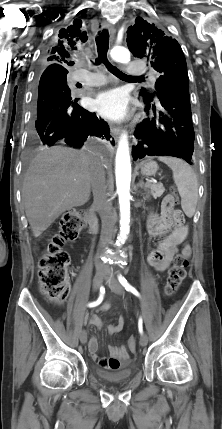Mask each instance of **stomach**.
<instances>
[{"label": "stomach", "instance_id": "0dacf381", "mask_svg": "<svg viewBox=\"0 0 222 429\" xmlns=\"http://www.w3.org/2000/svg\"><path fill=\"white\" fill-rule=\"evenodd\" d=\"M141 174L145 176H153L158 170V164L152 160H146L140 164Z\"/></svg>", "mask_w": 222, "mask_h": 429}]
</instances>
